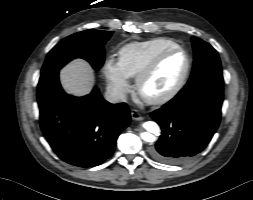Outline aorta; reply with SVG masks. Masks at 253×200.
<instances>
[{"mask_svg":"<svg viewBox=\"0 0 253 200\" xmlns=\"http://www.w3.org/2000/svg\"><path fill=\"white\" fill-rule=\"evenodd\" d=\"M143 127L147 130V132L141 133V138L146 142H153L155 136L160 132L159 126L153 121H147L143 124Z\"/></svg>","mask_w":253,"mask_h":200,"instance_id":"obj_1","label":"aorta"}]
</instances>
